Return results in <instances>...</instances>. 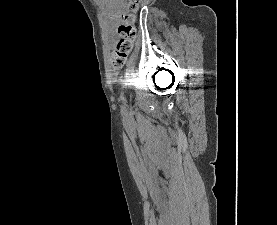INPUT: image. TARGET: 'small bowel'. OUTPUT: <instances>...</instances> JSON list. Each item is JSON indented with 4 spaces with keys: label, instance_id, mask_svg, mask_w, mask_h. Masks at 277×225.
Returning a JSON list of instances; mask_svg holds the SVG:
<instances>
[{
    "label": "small bowel",
    "instance_id": "small-bowel-1",
    "mask_svg": "<svg viewBox=\"0 0 277 225\" xmlns=\"http://www.w3.org/2000/svg\"><path fill=\"white\" fill-rule=\"evenodd\" d=\"M121 14V7L119 6L117 9L111 11L110 17L114 20H117Z\"/></svg>",
    "mask_w": 277,
    "mask_h": 225
}]
</instances>
